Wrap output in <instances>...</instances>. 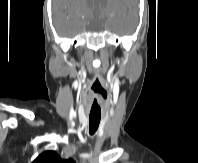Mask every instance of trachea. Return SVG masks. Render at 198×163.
Instances as JSON below:
<instances>
[{
	"label": "trachea",
	"instance_id": "1",
	"mask_svg": "<svg viewBox=\"0 0 198 163\" xmlns=\"http://www.w3.org/2000/svg\"><path fill=\"white\" fill-rule=\"evenodd\" d=\"M100 117H89V132L90 134H94L99 126Z\"/></svg>",
	"mask_w": 198,
	"mask_h": 163
}]
</instances>
